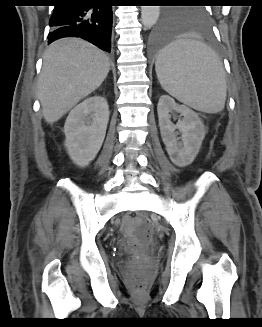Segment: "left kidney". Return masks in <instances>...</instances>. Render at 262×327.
I'll return each instance as SVG.
<instances>
[{"label":"left kidney","instance_id":"1","mask_svg":"<svg viewBox=\"0 0 262 327\" xmlns=\"http://www.w3.org/2000/svg\"><path fill=\"white\" fill-rule=\"evenodd\" d=\"M161 137L166 145L171 161L179 167L190 165L199 153L206 130L198 114L185 105L177 104L168 95H162L157 106ZM171 112L183 116L174 125L170 118ZM182 133V143H178L175 130Z\"/></svg>","mask_w":262,"mask_h":327}]
</instances>
